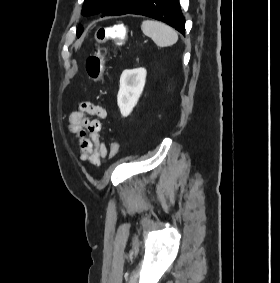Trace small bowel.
Returning <instances> with one entry per match:
<instances>
[{"label": "small bowel", "mask_w": 280, "mask_h": 283, "mask_svg": "<svg viewBox=\"0 0 280 283\" xmlns=\"http://www.w3.org/2000/svg\"><path fill=\"white\" fill-rule=\"evenodd\" d=\"M91 116L105 119L107 112L100 105L83 102L78 110L70 114L69 129L76 138L80 160L89 161L92 165L98 166L103 158L111 155L116 142L108 148L101 141V122L98 119H92Z\"/></svg>", "instance_id": "small-bowel-1"}]
</instances>
